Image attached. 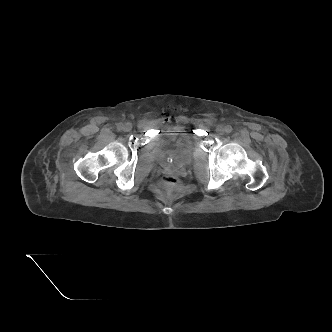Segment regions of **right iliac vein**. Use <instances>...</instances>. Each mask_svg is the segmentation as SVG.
Instances as JSON below:
<instances>
[{
	"mask_svg": "<svg viewBox=\"0 0 332 332\" xmlns=\"http://www.w3.org/2000/svg\"><path fill=\"white\" fill-rule=\"evenodd\" d=\"M122 129H123V131H125V132H129V131H131V129H132V125H131V123H125V124L123 125Z\"/></svg>",
	"mask_w": 332,
	"mask_h": 332,
	"instance_id": "1",
	"label": "right iliac vein"
}]
</instances>
